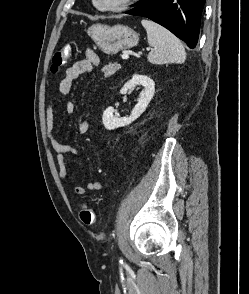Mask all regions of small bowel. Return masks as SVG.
<instances>
[{
  "label": "small bowel",
  "mask_w": 249,
  "mask_h": 294,
  "mask_svg": "<svg viewBox=\"0 0 249 294\" xmlns=\"http://www.w3.org/2000/svg\"><path fill=\"white\" fill-rule=\"evenodd\" d=\"M100 64L99 56L91 49L86 50L85 58L76 61L72 66L66 70L65 77L60 81L57 92L61 96H68L73 84L80 75L92 72L95 66ZM65 110L68 114H73L76 110L75 104L72 101H68L65 104ZM90 130V123L87 120H83L78 124V132L80 134H87ZM46 132L49 144L56 156V162L58 166V175L60 181L64 183L70 182L68 169L66 166V156L76 155V147L62 143L55 132V112L54 102L51 100L46 110ZM103 188V184L99 181L87 182L85 186L72 185L69 192L74 196H82L86 191H100Z\"/></svg>",
  "instance_id": "small-bowel-1"
}]
</instances>
